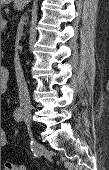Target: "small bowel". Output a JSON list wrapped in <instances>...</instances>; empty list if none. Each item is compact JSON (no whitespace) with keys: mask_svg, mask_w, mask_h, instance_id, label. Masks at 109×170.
Wrapping results in <instances>:
<instances>
[{"mask_svg":"<svg viewBox=\"0 0 109 170\" xmlns=\"http://www.w3.org/2000/svg\"><path fill=\"white\" fill-rule=\"evenodd\" d=\"M6 143H7L6 134H5V133H2V134H1V146L6 145Z\"/></svg>","mask_w":109,"mask_h":170,"instance_id":"obj_1","label":"small bowel"}]
</instances>
